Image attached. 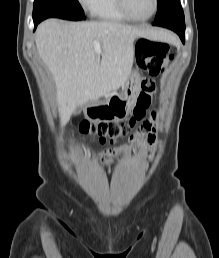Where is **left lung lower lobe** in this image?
Listing matches in <instances>:
<instances>
[{
	"label": "left lung lower lobe",
	"instance_id": "1",
	"mask_svg": "<svg viewBox=\"0 0 219 258\" xmlns=\"http://www.w3.org/2000/svg\"><path fill=\"white\" fill-rule=\"evenodd\" d=\"M155 26H161L176 32L185 43V19L171 18L162 21H154Z\"/></svg>",
	"mask_w": 219,
	"mask_h": 258
}]
</instances>
